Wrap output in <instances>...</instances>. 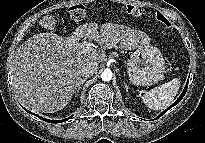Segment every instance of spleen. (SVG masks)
<instances>
[{"label": "spleen", "instance_id": "obj_1", "mask_svg": "<svg viewBox=\"0 0 205 143\" xmlns=\"http://www.w3.org/2000/svg\"><path fill=\"white\" fill-rule=\"evenodd\" d=\"M180 88V79L174 78L173 80L162 84L149 92L145 93L142 97L145 105L152 110H163L170 106L174 101Z\"/></svg>", "mask_w": 205, "mask_h": 143}]
</instances>
